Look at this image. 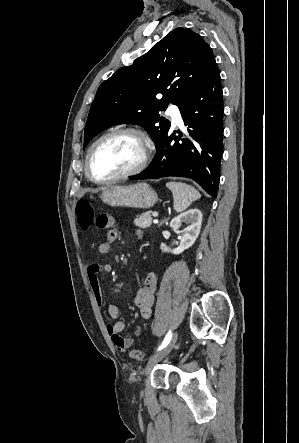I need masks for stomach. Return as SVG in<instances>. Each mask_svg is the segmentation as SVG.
Segmentation results:
<instances>
[{"mask_svg":"<svg viewBox=\"0 0 299 443\" xmlns=\"http://www.w3.org/2000/svg\"><path fill=\"white\" fill-rule=\"evenodd\" d=\"M157 194L147 183L129 186L113 185L101 194V200L112 207H133L147 209L157 202Z\"/></svg>","mask_w":299,"mask_h":443,"instance_id":"1","label":"stomach"}]
</instances>
